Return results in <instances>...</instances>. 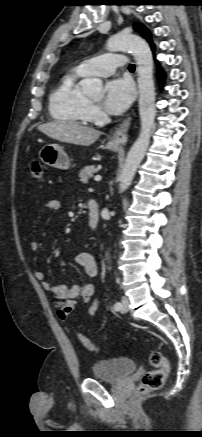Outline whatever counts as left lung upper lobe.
Masks as SVG:
<instances>
[{"label":"left lung upper lobe","mask_w":202,"mask_h":437,"mask_svg":"<svg viewBox=\"0 0 202 437\" xmlns=\"http://www.w3.org/2000/svg\"><path fill=\"white\" fill-rule=\"evenodd\" d=\"M134 29L137 32H139L141 34V36L143 38H145L150 43L152 48L154 47V44L152 43V40H151L150 31L143 24L135 23L134 24Z\"/></svg>","instance_id":"obj_1"}]
</instances>
